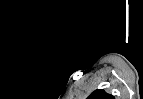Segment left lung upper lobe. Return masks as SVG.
Listing matches in <instances>:
<instances>
[{"label": "left lung upper lobe", "mask_w": 143, "mask_h": 99, "mask_svg": "<svg viewBox=\"0 0 143 99\" xmlns=\"http://www.w3.org/2000/svg\"><path fill=\"white\" fill-rule=\"evenodd\" d=\"M87 99H114V96L108 94L103 89H98L92 92Z\"/></svg>", "instance_id": "obj_1"}]
</instances>
